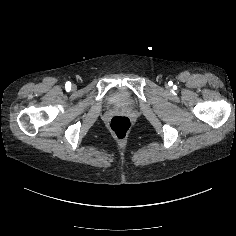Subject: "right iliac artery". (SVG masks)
<instances>
[{
	"label": "right iliac artery",
	"mask_w": 236,
	"mask_h": 236,
	"mask_svg": "<svg viewBox=\"0 0 236 236\" xmlns=\"http://www.w3.org/2000/svg\"><path fill=\"white\" fill-rule=\"evenodd\" d=\"M65 86H66V90H69L71 88V82L69 81L66 82Z\"/></svg>",
	"instance_id": "1"
}]
</instances>
